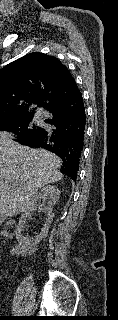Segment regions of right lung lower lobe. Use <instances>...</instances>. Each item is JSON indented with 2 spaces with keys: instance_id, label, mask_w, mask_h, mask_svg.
<instances>
[{
  "instance_id": "98d812e1",
  "label": "right lung lower lobe",
  "mask_w": 118,
  "mask_h": 320,
  "mask_svg": "<svg viewBox=\"0 0 118 320\" xmlns=\"http://www.w3.org/2000/svg\"><path fill=\"white\" fill-rule=\"evenodd\" d=\"M45 120L47 127L34 135L17 139L20 144L41 147L58 155L63 163L61 173L77 178L84 145L85 107L81 92L52 107Z\"/></svg>"
}]
</instances>
